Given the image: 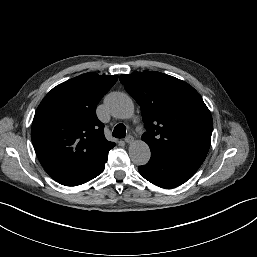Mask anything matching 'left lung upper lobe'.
I'll list each match as a JSON object with an SVG mask.
<instances>
[{
	"instance_id": "1",
	"label": "left lung upper lobe",
	"mask_w": 257,
	"mask_h": 257,
	"mask_svg": "<svg viewBox=\"0 0 257 257\" xmlns=\"http://www.w3.org/2000/svg\"><path fill=\"white\" fill-rule=\"evenodd\" d=\"M120 82L141 108L142 140L151 150L208 153L212 116L192 86L156 71L121 75Z\"/></svg>"
}]
</instances>
